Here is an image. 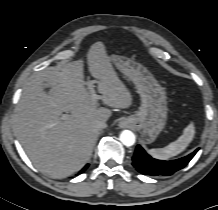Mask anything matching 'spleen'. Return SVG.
<instances>
[{
    "mask_svg": "<svg viewBox=\"0 0 218 210\" xmlns=\"http://www.w3.org/2000/svg\"><path fill=\"white\" fill-rule=\"evenodd\" d=\"M195 134V127L190 123L183 131V134L174 142L164 148L150 149L149 153L156 159L167 160L178 155L190 144Z\"/></svg>",
    "mask_w": 218,
    "mask_h": 210,
    "instance_id": "spleen-1",
    "label": "spleen"
}]
</instances>
